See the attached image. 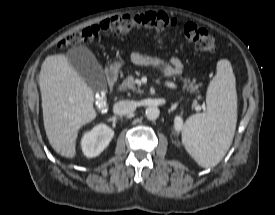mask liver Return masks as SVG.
<instances>
[{"instance_id":"1","label":"liver","mask_w":275,"mask_h":215,"mask_svg":"<svg viewBox=\"0 0 275 215\" xmlns=\"http://www.w3.org/2000/svg\"><path fill=\"white\" fill-rule=\"evenodd\" d=\"M39 86L49 143L61 156L74 158L79 129L97 115L94 92L63 54L45 59Z\"/></svg>"}]
</instances>
